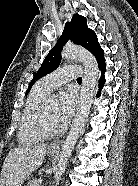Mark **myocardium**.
<instances>
[{"label": "myocardium", "instance_id": "1", "mask_svg": "<svg viewBox=\"0 0 138 186\" xmlns=\"http://www.w3.org/2000/svg\"><path fill=\"white\" fill-rule=\"evenodd\" d=\"M48 101H49L48 99H45L39 105V107L33 113L32 118H31V122H30L32 131L41 138L57 137V136L61 135L65 130L64 126L57 131H49L45 127L43 119H44V113H45Z\"/></svg>", "mask_w": 138, "mask_h": 186}]
</instances>
